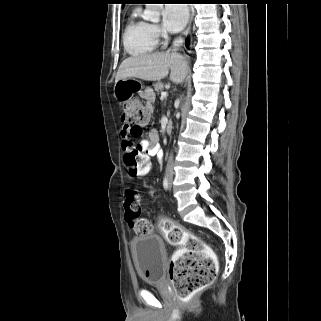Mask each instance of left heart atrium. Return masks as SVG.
Instances as JSON below:
<instances>
[{
    "label": "left heart atrium",
    "instance_id": "39dd6f15",
    "mask_svg": "<svg viewBox=\"0 0 321 321\" xmlns=\"http://www.w3.org/2000/svg\"><path fill=\"white\" fill-rule=\"evenodd\" d=\"M188 20V9L183 4H167L163 12V26L172 33L183 29Z\"/></svg>",
    "mask_w": 321,
    "mask_h": 321
}]
</instances>
